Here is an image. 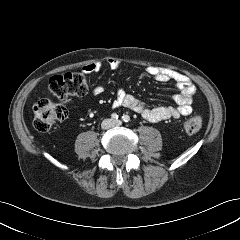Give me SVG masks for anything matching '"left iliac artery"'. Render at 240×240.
Listing matches in <instances>:
<instances>
[{
	"instance_id": "1",
	"label": "left iliac artery",
	"mask_w": 240,
	"mask_h": 240,
	"mask_svg": "<svg viewBox=\"0 0 240 240\" xmlns=\"http://www.w3.org/2000/svg\"><path fill=\"white\" fill-rule=\"evenodd\" d=\"M122 120L125 122V123H128L130 121V117L128 115H123L122 116Z\"/></svg>"
}]
</instances>
